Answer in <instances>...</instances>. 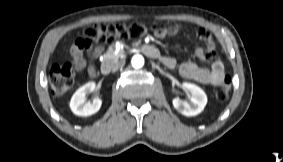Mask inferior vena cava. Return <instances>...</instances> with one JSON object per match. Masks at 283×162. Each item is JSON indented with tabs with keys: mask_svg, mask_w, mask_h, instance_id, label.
I'll return each instance as SVG.
<instances>
[{
	"mask_svg": "<svg viewBox=\"0 0 283 162\" xmlns=\"http://www.w3.org/2000/svg\"><path fill=\"white\" fill-rule=\"evenodd\" d=\"M122 67H123V63L122 62H118L115 65H113L112 71L115 72V71L121 69Z\"/></svg>",
	"mask_w": 283,
	"mask_h": 162,
	"instance_id": "inferior-vena-cava-1",
	"label": "inferior vena cava"
}]
</instances>
